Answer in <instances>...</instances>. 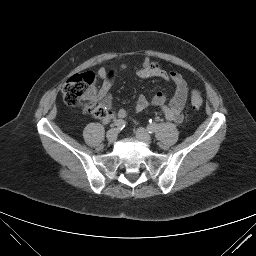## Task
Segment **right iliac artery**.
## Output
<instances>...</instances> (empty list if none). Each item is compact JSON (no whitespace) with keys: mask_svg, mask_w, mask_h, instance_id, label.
Instances as JSON below:
<instances>
[{"mask_svg":"<svg viewBox=\"0 0 256 256\" xmlns=\"http://www.w3.org/2000/svg\"><path fill=\"white\" fill-rule=\"evenodd\" d=\"M125 125H126V122L122 119H119V120L114 121V123H112L110 126L111 127L115 126L119 129H123L125 127Z\"/></svg>","mask_w":256,"mask_h":256,"instance_id":"obj_1","label":"right iliac artery"}]
</instances>
